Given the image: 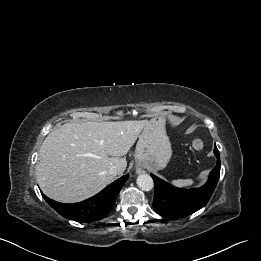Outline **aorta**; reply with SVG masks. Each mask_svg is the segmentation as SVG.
Wrapping results in <instances>:
<instances>
[{
    "mask_svg": "<svg viewBox=\"0 0 261 261\" xmlns=\"http://www.w3.org/2000/svg\"><path fill=\"white\" fill-rule=\"evenodd\" d=\"M136 183L143 191H150L154 187L153 179L148 174H140L137 177Z\"/></svg>",
    "mask_w": 261,
    "mask_h": 261,
    "instance_id": "aorta-1",
    "label": "aorta"
}]
</instances>
